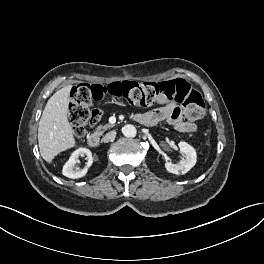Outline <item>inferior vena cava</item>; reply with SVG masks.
Masks as SVG:
<instances>
[{
  "label": "inferior vena cava",
  "instance_id": "602c4592",
  "mask_svg": "<svg viewBox=\"0 0 264 264\" xmlns=\"http://www.w3.org/2000/svg\"><path fill=\"white\" fill-rule=\"evenodd\" d=\"M116 137V131L113 130V131H110L108 132L107 134H105V136L102 138V141L104 143H108L110 141H113Z\"/></svg>",
  "mask_w": 264,
  "mask_h": 264
}]
</instances>
